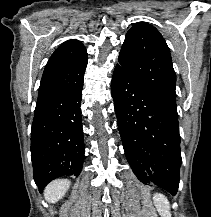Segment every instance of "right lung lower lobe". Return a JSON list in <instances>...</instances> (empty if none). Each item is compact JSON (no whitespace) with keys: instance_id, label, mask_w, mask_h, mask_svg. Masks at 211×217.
I'll list each match as a JSON object with an SVG mask.
<instances>
[{"instance_id":"obj_1","label":"right lung lower lobe","mask_w":211,"mask_h":217,"mask_svg":"<svg viewBox=\"0 0 211 217\" xmlns=\"http://www.w3.org/2000/svg\"><path fill=\"white\" fill-rule=\"evenodd\" d=\"M83 76L84 73L72 86L37 100L31 129V160L40 192L52 180L78 176L82 170Z\"/></svg>"}]
</instances>
